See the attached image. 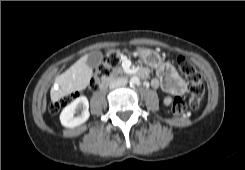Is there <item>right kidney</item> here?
Returning <instances> with one entry per match:
<instances>
[{"instance_id": "1", "label": "right kidney", "mask_w": 245, "mask_h": 170, "mask_svg": "<svg viewBox=\"0 0 245 170\" xmlns=\"http://www.w3.org/2000/svg\"><path fill=\"white\" fill-rule=\"evenodd\" d=\"M89 102L85 96H80L67 105L60 114V121L64 127L73 128L86 122L90 116ZM80 114L76 115L77 112Z\"/></svg>"}]
</instances>
